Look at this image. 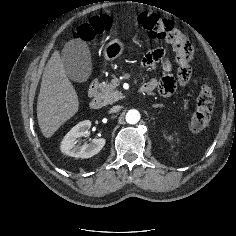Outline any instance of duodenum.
Instances as JSON below:
<instances>
[{
    "mask_svg": "<svg viewBox=\"0 0 236 236\" xmlns=\"http://www.w3.org/2000/svg\"><path fill=\"white\" fill-rule=\"evenodd\" d=\"M140 91L146 93L147 91L144 88H140ZM89 98H90V107L92 109H98L101 106V98L98 93V81L94 80L89 87Z\"/></svg>",
    "mask_w": 236,
    "mask_h": 236,
    "instance_id": "duodenum-1",
    "label": "duodenum"
}]
</instances>
